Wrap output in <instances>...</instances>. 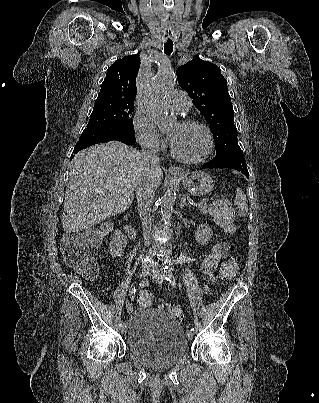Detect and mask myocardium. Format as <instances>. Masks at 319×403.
Listing matches in <instances>:
<instances>
[{
	"label": "myocardium",
	"mask_w": 319,
	"mask_h": 403,
	"mask_svg": "<svg viewBox=\"0 0 319 403\" xmlns=\"http://www.w3.org/2000/svg\"><path fill=\"white\" fill-rule=\"evenodd\" d=\"M180 123L182 125H186V126H198L200 127L206 135L207 138V148L206 151L204 152V154L198 158H194V159H190V158H185L182 157L181 155H179L175 149L173 148L172 144L170 146V151H171V155L172 157L181 162V163H185V164H200L203 163L204 161H206L210 155L213 152V148H214V138H213V134L210 130V128L203 122L197 120V119H192V118H183L180 120Z\"/></svg>",
	"instance_id": "obj_1"
}]
</instances>
